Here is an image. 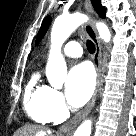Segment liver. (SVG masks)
<instances>
[{
	"label": "liver",
	"instance_id": "liver-1",
	"mask_svg": "<svg viewBox=\"0 0 136 136\" xmlns=\"http://www.w3.org/2000/svg\"><path fill=\"white\" fill-rule=\"evenodd\" d=\"M51 134L50 130H44L37 125H25L18 129L14 136H49Z\"/></svg>",
	"mask_w": 136,
	"mask_h": 136
}]
</instances>
